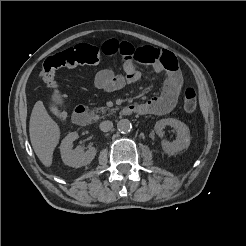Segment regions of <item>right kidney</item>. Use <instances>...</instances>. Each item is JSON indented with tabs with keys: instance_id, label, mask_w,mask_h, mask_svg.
I'll return each mask as SVG.
<instances>
[{
	"instance_id": "1",
	"label": "right kidney",
	"mask_w": 246,
	"mask_h": 246,
	"mask_svg": "<svg viewBox=\"0 0 246 246\" xmlns=\"http://www.w3.org/2000/svg\"><path fill=\"white\" fill-rule=\"evenodd\" d=\"M77 132L69 133L61 142L60 151L63 162L71 167L79 168L91 163L95 158L97 150L94 147H90L85 153L81 147L72 149V143L78 139Z\"/></svg>"
}]
</instances>
